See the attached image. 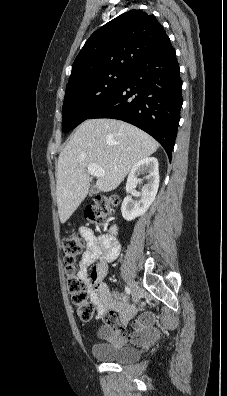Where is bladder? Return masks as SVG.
I'll return each instance as SVG.
<instances>
[{"instance_id": "1", "label": "bladder", "mask_w": 227, "mask_h": 396, "mask_svg": "<svg viewBox=\"0 0 227 396\" xmlns=\"http://www.w3.org/2000/svg\"><path fill=\"white\" fill-rule=\"evenodd\" d=\"M91 354L98 360L118 364L131 363L140 357L136 348L125 344L94 343Z\"/></svg>"}]
</instances>
